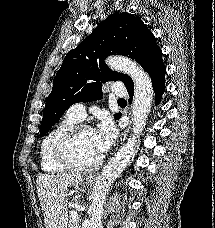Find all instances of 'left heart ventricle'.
<instances>
[{"instance_id": "1", "label": "left heart ventricle", "mask_w": 215, "mask_h": 228, "mask_svg": "<svg viewBox=\"0 0 215 228\" xmlns=\"http://www.w3.org/2000/svg\"><path fill=\"white\" fill-rule=\"evenodd\" d=\"M69 153L75 162L82 165L91 164L103 155L95 142L93 129L79 132L69 145Z\"/></svg>"}]
</instances>
